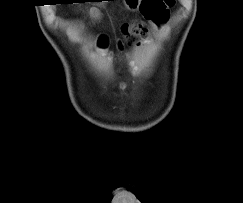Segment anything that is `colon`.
I'll return each instance as SVG.
<instances>
[{"label":"colon","instance_id":"colon-1","mask_svg":"<svg viewBox=\"0 0 243 203\" xmlns=\"http://www.w3.org/2000/svg\"><path fill=\"white\" fill-rule=\"evenodd\" d=\"M176 4V0H142L140 12L143 20H133L122 26L123 40L119 43L120 48L126 45H133L138 38H143L148 34V25L151 23L155 27H161L168 18V13ZM107 40H100V47L105 48Z\"/></svg>","mask_w":243,"mask_h":203}]
</instances>
